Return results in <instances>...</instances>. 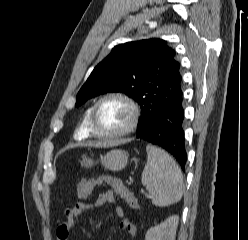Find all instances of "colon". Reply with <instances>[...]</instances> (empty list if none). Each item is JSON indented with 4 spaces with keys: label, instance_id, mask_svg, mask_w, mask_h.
I'll return each instance as SVG.
<instances>
[{
    "label": "colon",
    "instance_id": "obj_1",
    "mask_svg": "<svg viewBox=\"0 0 248 240\" xmlns=\"http://www.w3.org/2000/svg\"><path fill=\"white\" fill-rule=\"evenodd\" d=\"M101 182L108 183L114 193L126 201L132 208L139 207L136 197L127 189V187L119 179L108 175L82 180L77 187V197L79 199H86L93 186Z\"/></svg>",
    "mask_w": 248,
    "mask_h": 240
}]
</instances>
